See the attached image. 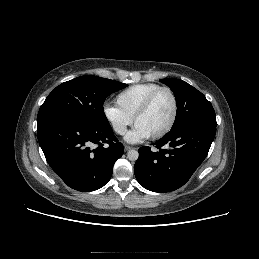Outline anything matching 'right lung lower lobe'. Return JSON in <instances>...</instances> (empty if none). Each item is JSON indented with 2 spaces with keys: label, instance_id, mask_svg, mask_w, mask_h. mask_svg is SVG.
<instances>
[{
  "label": "right lung lower lobe",
  "instance_id": "98d812e1",
  "mask_svg": "<svg viewBox=\"0 0 259 259\" xmlns=\"http://www.w3.org/2000/svg\"><path fill=\"white\" fill-rule=\"evenodd\" d=\"M38 140L48 164L72 189L88 192L110 180L123 144L110 124L57 117L38 125Z\"/></svg>",
  "mask_w": 259,
  "mask_h": 259
}]
</instances>
